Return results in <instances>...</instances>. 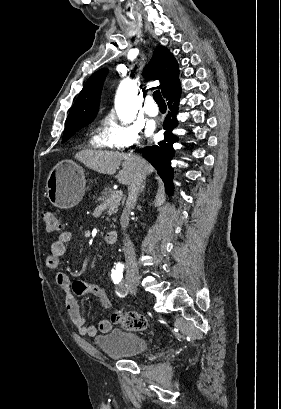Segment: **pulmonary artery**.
Returning a JSON list of instances; mask_svg holds the SVG:
<instances>
[{"instance_id":"e3ab8cb5","label":"pulmonary artery","mask_w":281,"mask_h":409,"mask_svg":"<svg viewBox=\"0 0 281 409\" xmlns=\"http://www.w3.org/2000/svg\"><path fill=\"white\" fill-rule=\"evenodd\" d=\"M144 108L150 116H157L159 114L157 102H146Z\"/></svg>"}]
</instances>
